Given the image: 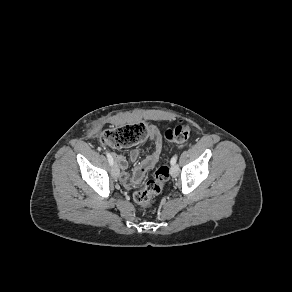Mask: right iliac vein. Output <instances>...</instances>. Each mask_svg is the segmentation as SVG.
<instances>
[{"instance_id":"63e3f726","label":"right iliac vein","mask_w":292,"mask_h":292,"mask_svg":"<svg viewBox=\"0 0 292 292\" xmlns=\"http://www.w3.org/2000/svg\"><path fill=\"white\" fill-rule=\"evenodd\" d=\"M112 175L114 178H117L119 176V168H118V165L115 163L112 165Z\"/></svg>"}]
</instances>
